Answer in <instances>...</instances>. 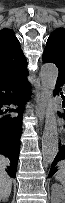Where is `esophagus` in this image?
Returning a JSON list of instances; mask_svg holds the SVG:
<instances>
[{
    "instance_id": "34e87169",
    "label": "esophagus",
    "mask_w": 65,
    "mask_h": 203,
    "mask_svg": "<svg viewBox=\"0 0 65 203\" xmlns=\"http://www.w3.org/2000/svg\"><path fill=\"white\" fill-rule=\"evenodd\" d=\"M46 98H47L46 90L43 87H41L40 92L36 94L35 97V100L37 102L36 116L38 117L41 123L45 118Z\"/></svg>"
}]
</instances>
